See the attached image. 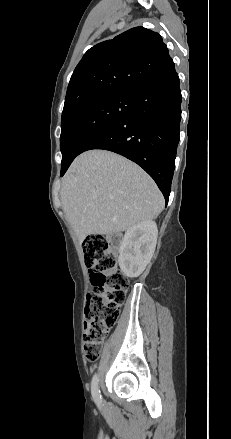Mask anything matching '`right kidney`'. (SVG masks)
Masks as SVG:
<instances>
[{
    "mask_svg": "<svg viewBox=\"0 0 231 439\" xmlns=\"http://www.w3.org/2000/svg\"><path fill=\"white\" fill-rule=\"evenodd\" d=\"M157 236L154 221L141 222L126 231L120 245L118 263L127 277H137L144 271L153 256Z\"/></svg>",
    "mask_w": 231,
    "mask_h": 439,
    "instance_id": "obj_1",
    "label": "right kidney"
}]
</instances>
